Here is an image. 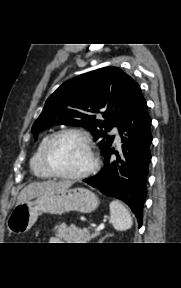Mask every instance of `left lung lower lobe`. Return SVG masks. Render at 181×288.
<instances>
[{"mask_svg":"<svg viewBox=\"0 0 181 288\" xmlns=\"http://www.w3.org/2000/svg\"><path fill=\"white\" fill-rule=\"evenodd\" d=\"M151 118L141 90L136 94L131 108L119 127L124 161L119 165L110 160L114 149L105 154L103 169L84 182L98 188L103 194L124 201L135 214L139 227L143 222V204L145 202L146 179L151 159L150 131ZM117 154V152H116Z\"/></svg>","mask_w":181,"mask_h":288,"instance_id":"0a47b994","label":"left lung lower lobe"}]
</instances>
